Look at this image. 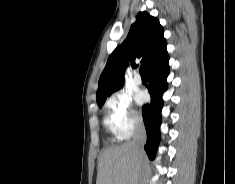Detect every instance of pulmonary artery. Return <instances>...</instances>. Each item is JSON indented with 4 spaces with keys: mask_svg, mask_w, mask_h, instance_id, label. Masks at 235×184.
I'll use <instances>...</instances> for the list:
<instances>
[{
    "mask_svg": "<svg viewBox=\"0 0 235 184\" xmlns=\"http://www.w3.org/2000/svg\"><path fill=\"white\" fill-rule=\"evenodd\" d=\"M133 81L136 85H141L142 84V78L138 73L134 74Z\"/></svg>",
    "mask_w": 235,
    "mask_h": 184,
    "instance_id": "obj_1",
    "label": "pulmonary artery"
}]
</instances>
